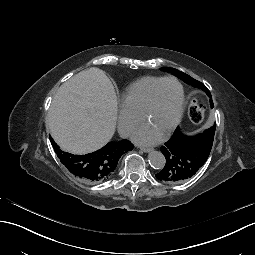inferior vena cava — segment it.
<instances>
[{
    "label": "inferior vena cava",
    "mask_w": 255,
    "mask_h": 255,
    "mask_svg": "<svg viewBox=\"0 0 255 255\" xmlns=\"http://www.w3.org/2000/svg\"><path fill=\"white\" fill-rule=\"evenodd\" d=\"M132 128L129 126L118 128V133L122 138H127Z\"/></svg>",
    "instance_id": "obj_1"
}]
</instances>
